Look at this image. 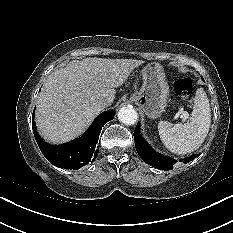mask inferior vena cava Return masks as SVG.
I'll return each instance as SVG.
<instances>
[{"instance_id": "obj_1", "label": "inferior vena cava", "mask_w": 233, "mask_h": 233, "mask_svg": "<svg viewBox=\"0 0 233 233\" xmlns=\"http://www.w3.org/2000/svg\"><path fill=\"white\" fill-rule=\"evenodd\" d=\"M99 104H100L101 107L105 108V107L110 105V101L107 98H101L99 100Z\"/></svg>"}]
</instances>
